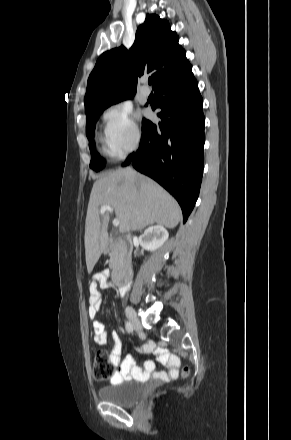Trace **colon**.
<instances>
[{"mask_svg": "<svg viewBox=\"0 0 291 440\" xmlns=\"http://www.w3.org/2000/svg\"><path fill=\"white\" fill-rule=\"evenodd\" d=\"M92 370L94 378L99 381L109 379L113 373L108 357L102 352L96 354L93 360ZM183 373L188 374V368H185Z\"/></svg>", "mask_w": 291, "mask_h": 440, "instance_id": "colon-1", "label": "colon"}]
</instances>
